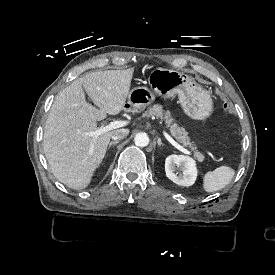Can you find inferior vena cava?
<instances>
[{
  "label": "inferior vena cava",
  "mask_w": 275,
  "mask_h": 275,
  "mask_svg": "<svg viewBox=\"0 0 275 275\" xmlns=\"http://www.w3.org/2000/svg\"><path fill=\"white\" fill-rule=\"evenodd\" d=\"M129 134V129H117L112 134L113 140H121L124 139Z\"/></svg>",
  "instance_id": "obj_1"
}]
</instances>
